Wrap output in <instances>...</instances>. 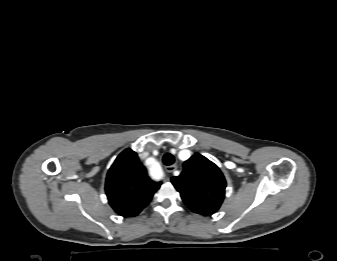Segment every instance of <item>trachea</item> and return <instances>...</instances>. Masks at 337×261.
<instances>
[{"mask_svg": "<svg viewBox=\"0 0 337 261\" xmlns=\"http://www.w3.org/2000/svg\"><path fill=\"white\" fill-rule=\"evenodd\" d=\"M162 160L165 165H172L175 161L174 156L170 153H166Z\"/></svg>", "mask_w": 337, "mask_h": 261, "instance_id": "3493384b", "label": "trachea"}]
</instances>
